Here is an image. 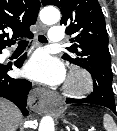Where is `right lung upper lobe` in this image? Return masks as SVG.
I'll return each mask as SVG.
<instances>
[{"label": "right lung upper lobe", "mask_w": 117, "mask_h": 131, "mask_svg": "<svg viewBox=\"0 0 117 131\" xmlns=\"http://www.w3.org/2000/svg\"><path fill=\"white\" fill-rule=\"evenodd\" d=\"M39 8L38 0H0V51L13 45L16 38L32 34L29 27L35 24ZM4 30L13 33L11 39Z\"/></svg>", "instance_id": "right-lung-upper-lobe-1"}]
</instances>
